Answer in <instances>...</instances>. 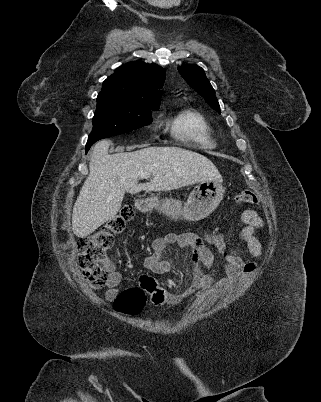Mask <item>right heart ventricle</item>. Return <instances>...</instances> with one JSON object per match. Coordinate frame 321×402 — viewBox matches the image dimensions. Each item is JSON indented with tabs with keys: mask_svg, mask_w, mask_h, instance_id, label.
I'll use <instances>...</instances> for the list:
<instances>
[{
	"mask_svg": "<svg viewBox=\"0 0 321 402\" xmlns=\"http://www.w3.org/2000/svg\"><path fill=\"white\" fill-rule=\"evenodd\" d=\"M166 123L171 135L179 141L206 149L216 147L211 124L196 108H184L167 119Z\"/></svg>",
	"mask_w": 321,
	"mask_h": 402,
	"instance_id": "1",
	"label": "right heart ventricle"
}]
</instances>
